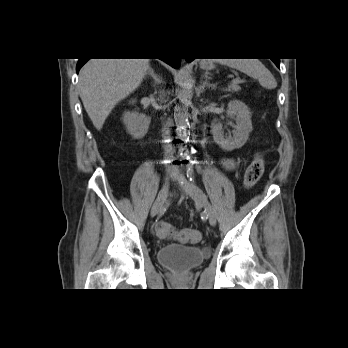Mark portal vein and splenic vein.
Wrapping results in <instances>:
<instances>
[{
    "mask_svg": "<svg viewBox=\"0 0 348 348\" xmlns=\"http://www.w3.org/2000/svg\"><path fill=\"white\" fill-rule=\"evenodd\" d=\"M238 82H240V80L238 78L232 80V83H238Z\"/></svg>",
    "mask_w": 348,
    "mask_h": 348,
    "instance_id": "obj_1",
    "label": "portal vein and splenic vein"
}]
</instances>
